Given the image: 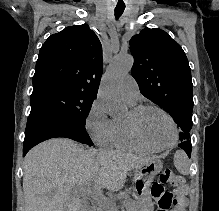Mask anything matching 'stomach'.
<instances>
[{
	"instance_id": "0dacf381",
	"label": "stomach",
	"mask_w": 219,
	"mask_h": 211,
	"mask_svg": "<svg viewBox=\"0 0 219 211\" xmlns=\"http://www.w3.org/2000/svg\"><path fill=\"white\" fill-rule=\"evenodd\" d=\"M163 164L160 160L154 159L138 168L134 169L135 196L138 204V211L150 210L151 201L147 195V190L154 177L160 173Z\"/></svg>"
}]
</instances>
